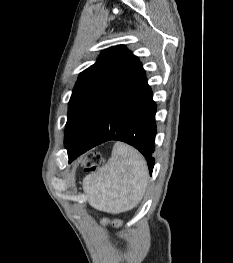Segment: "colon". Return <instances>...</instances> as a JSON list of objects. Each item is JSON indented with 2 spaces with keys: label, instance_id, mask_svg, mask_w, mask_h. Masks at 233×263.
<instances>
[{
  "label": "colon",
  "instance_id": "5ec220e1",
  "mask_svg": "<svg viewBox=\"0 0 233 263\" xmlns=\"http://www.w3.org/2000/svg\"><path fill=\"white\" fill-rule=\"evenodd\" d=\"M85 164L89 170H94L103 164V157L99 152L90 153L86 157ZM112 224H114L115 226H119L120 221L113 220Z\"/></svg>",
  "mask_w": 233,
  "mask_h": 263
}]
</instances>
